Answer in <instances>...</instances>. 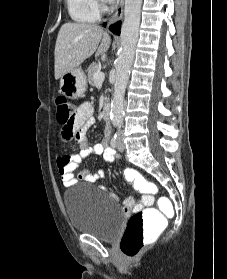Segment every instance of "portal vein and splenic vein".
Returning <instances> with one entry per match:
<instances>
[{"mask_svg":"<svg viewBox=\"0 0 227 279\" xmlns=\"http://www.w3.org/2000/svg\"><path fill=\"white\" fill-rule=\"evenodd\" d=\"M105 79V74L102 71H96L94 73V81L95 82H103Z\"/></svg>","mask_w":227,"mask_h":279,"instance_id":"portal-vein-and-splenic-vein-1","label":"portal vein and splenic vein"}]
</instances>
